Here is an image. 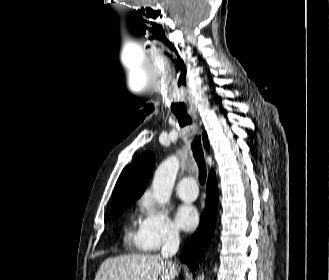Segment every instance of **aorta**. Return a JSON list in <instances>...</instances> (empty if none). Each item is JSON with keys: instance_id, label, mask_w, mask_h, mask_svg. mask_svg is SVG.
<instances>
[{"instance_id": "1", "label": "aorta", "mask_w": 329, "mask_h": 280, "mask_svg": "<svg viewBox=\"0 0 329 280\" xmlns=\"http://www.w3.org/2000/svg\"><path fill=\"white\" fill-rule=\"evenodd\" d=\"M178 170L179 160L176 156L167 158L157 168L152 182V190L155 200L160 205L169 202ZM197 280H204V276H198Z\"/></svg>"}]
</instances>
